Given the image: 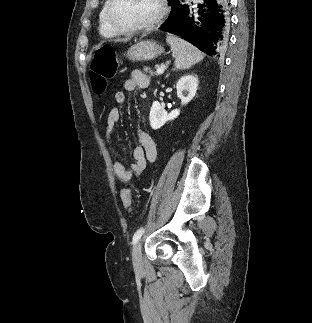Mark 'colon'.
<instances>
[{
	"instance_id": "obj_1",
	"label": "colon",
	"mask_w": 312,
	"mask_h": 323,
	"mask_svg": "<svg viewBox=\"0 0 312 323\" xmlns=\"http://www.w3.org/2000/svg\"><path fill=\"white\" fill-rule=\"evenodd\" d=\"M118 71V61L113 46L105 45L95 53L91 70L90 80L92 90L97 93H103L107 87L108 80L114 78ZM121 198L126 207L132 203L131 189H123Z\"/></svg>"
}]
</instances>
